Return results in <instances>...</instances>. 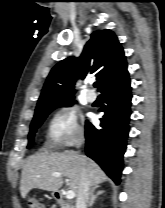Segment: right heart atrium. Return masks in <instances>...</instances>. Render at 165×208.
<instances>
[{
    "label": "right heart atrium",
    "mask_w": 165,
    "mask_h": 208,
    "mask_svg": "<svg viewBox=\"0 0 165 208\" xmlns=\"http://www.w3.org/2000/svg\"><path fill=\"white\" fill-rule=\"evenodd\" d=\"M83 136L77 110L73 107L60 109L49 124L48 137L55 145H74Z\"/></svg>",
    "instance_id": "right-heart-atrium-1"
}]
</instances>
